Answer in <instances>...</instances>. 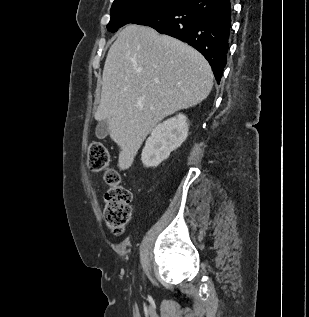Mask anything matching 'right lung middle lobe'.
Listing matches in <instances>:
<instances>
[{
	"mask_svg": "<svg viewBox=\"0 0 309 317\" xmlns=\"http://www.w3.org/2000/svg\"><path fill=\"white\" fill-rule=\"evenodd\" d=\"M184 0H114L110 13L111 19L107 25L110 32H116L125 24L136 18Z\"/></svg>",
	"mask_w": 309,
	"mask_h": 317,
	"instance_id": "1",
	"label": "right lung middle lobe"
}]
</instances>
